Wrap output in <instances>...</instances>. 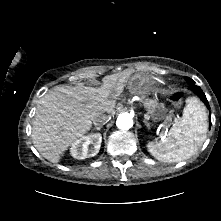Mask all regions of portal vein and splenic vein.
Returning a JSON list of instances; mask_svg holds the SVG:
<instances>
[{
  "instance_id": "18ae733b",
  "label": "portal vein and splenic vein",
  "mask_w": 221,
  "mask_h": 221,
  "mask_svg": "<svg viewBox=\"0 0 221 221\" xmlns=\"http://www.w3.org/2000/svg\"><path fill=\"white\" fill-rule=\"evenodd\" d=\"M145 118L146 119H149L150 118V116H149V114L147 113V114H145Z\"/></svg>"
}]
</instances>
